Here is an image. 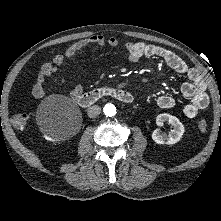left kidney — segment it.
Segmentation results:
<instances>
[{
  "label": "left kidney",
  "mask_w": 221,
  "mask_h": 221,
  "mask_svg": "<svg viewBox=\"0 0 221 221\" xmlns=\"http://www.w3.org/2000/svg\"><path fill=\"white\" fill-rule=\"evenodd\" d=\"M164 122H168L173 126V130L166 135L160 132L159 129L154 130L152 133V139L157 143V144H175L177 143L183 133H184V126L183 124L179 121V119L175 116H172L170 114L164 113L160 114L156 117V124L158 126H162Z\"/></svg>",
  "instance_id": "obj_1"
}]
</instances>
